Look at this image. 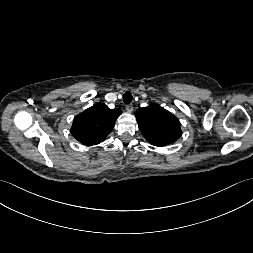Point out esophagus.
I'll return each mask as SVG.
<instances>
[{
	"label": "esophagus",
	"mask_w": 253,
	"mask_h": 253,
	"mask_svg": "<svg viewBox=\"0 0 253 253\" xmlns=\"http://www.w3.org/2000/svg\"><path fill=\"white\" fill-rule=\"evenodd\" d=\"M133 110H134L133 105H131V104L126 105V111H127L128 113H131Z\"/></svg>",
	"instance_id": "esophagus-1"
}]
</instances>
